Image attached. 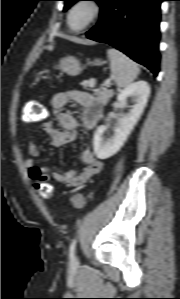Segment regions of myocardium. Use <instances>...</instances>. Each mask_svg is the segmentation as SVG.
<instances>
[{
  "mask_svg": "<svg viewBox=\"0 0 180 299\" xmlns=\"http://www.w3.org/2000/svg\"><path fill=\"white\" fill-rule=\"evenodd\" d=\"M81 6H85V7L89 8L90 17L85 24H83L80 27L75 28L71 25V16H72L73 11L76 8L81 7ZM101 13H102V7L97 2V0H78L69 8V10L67 12V16H66V22L71 31L82 32V31L88 29L89 27H91L92 25H94L96 22H98V20L101 17Z\"/></svg>",
  "mask_w": 180,
  "mask_h": 299,
  "instance_id": "1",
  "label": "myocardium"
}]
</instances>
